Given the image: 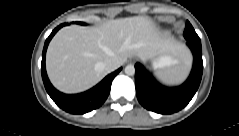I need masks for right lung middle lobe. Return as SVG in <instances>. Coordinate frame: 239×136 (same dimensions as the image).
<instances>
[{
	"label": "right lung middle lobe",
	"mask_w": 239,
	"mask_h": 136,
	"mask_svg": "<svg viewBox=\"0 0 239 136\" xmlns=\"http://www.w3.org/2000/svg\"><path fill=\"white\" fill-rule=\"evenodd\" d=\"M76 24H82V25H85L84 23H82V22H76Z\"/></svg>",
	"instance_id": "dd1d6c3e"
}]
</instances>
